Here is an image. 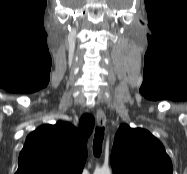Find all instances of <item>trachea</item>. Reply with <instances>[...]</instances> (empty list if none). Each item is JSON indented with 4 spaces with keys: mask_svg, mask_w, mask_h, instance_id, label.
<instances>
[{
    "mask_svg": "<svg viewBox=\"0 0 187 174\" xmlns=\"http://www.w3.org/2000/svg\"><path fill=\"white\" fill-rule=\"evenodd\" d=\"M104 138V127L96 128L93 140V152L96 157H99L102 151V142Z\"/></svg>",
    "mask_w": 187,
    "mask_h": 174,
    "instance_id": "3493384b",
    "label": "trachea"
}]
</instances>
